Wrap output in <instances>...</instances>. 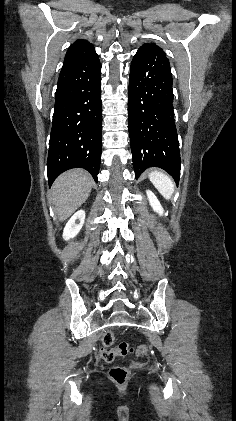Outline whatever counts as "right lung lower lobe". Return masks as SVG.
Here are the masks:
<instances>
[{
	"label": "right lung lower lobe",
	"mask_w": 236,
	"mask_h": 421,
	"mask_svg": "<svg viewBox=\"0 0 236 421\" xmlns=\"http://www.w3.org/2000/svg\"><path fill=\"white\" fill-rule=\"evenodd\" d=\"M101 64L98 56L59 74L47 160L49 185L64 171L84 168L98 182L101 156Z\"/></svg>",
	"instance_id": "1"
}]
</instances>
